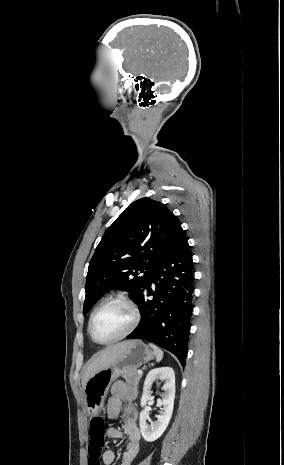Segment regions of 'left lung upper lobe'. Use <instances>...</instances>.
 Listing matches in <instances>:
<instances>
[{"instance_id": "obj_1", "label": "left lung upper lobe", "mask_w": 284, "mask_h": 465, "mask_svg": "<svg viewBox=\"0 0 284 465\" xmlns=\"http://www.w3.org/2000/svg\"><path fill=\"white\" fill-rule=\"evenodd\" d=\"M180 227L161 202L146 197L129 205L103 235L89 263L83 314L111 289L127 290L137 302Z\"/></svg>"}]
</instances>
